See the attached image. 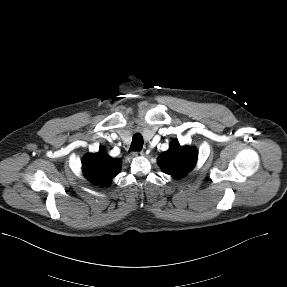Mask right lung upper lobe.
<instances>
[{
    "instance_id": "cb5924a9",
    "label": "right lung upper lobe",
    "mask_w": 287,
    "mask_h": 287,
    "mask_svg": "<svg viewBox=\"0 0 287 287\" xmlns=\"http://www.w3.org/2000/svg\"><path fill=\"white\" fill-rule=\"evenodd\" d=\"M82 168L87 179L93 184L107 186L120 171L121 161L111 158L104 150L89 154L82 160Z\"/></svg>"
}]
</instances>
